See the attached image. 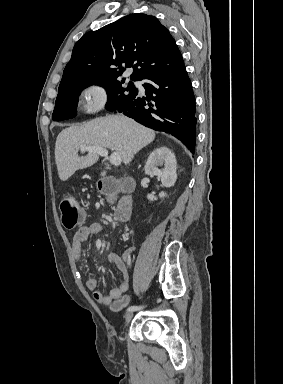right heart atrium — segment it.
I'll return each instance as SVG.
<instances>
[{"label": "right heart atrium", "instance_id": "obj_1", "mask_svg": "<svg viewBox=\"0 0 283 384\" xmlns=\"http://www.w3.org/2000/svg\"><path fill=\"white\" fill-rule=\"evenodd\" d=\"M80 109L86 115H93L101 111L109 100V89L100 81H90L79 90Z\"/></svg>", "mask_w": 283, "mask_h": 384}]
</instances>
